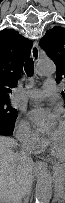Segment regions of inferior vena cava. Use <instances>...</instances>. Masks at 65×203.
<instances>
[{"label": "inferior vena cava", "instance_id": "obj_1", "mask_svg": "<svg viewBox=\"0 0 65 203\" xmlns=\"http://www.w3.org/2000/svg\"><path fill=\"white\" fill-rule=\"evenodd\" d=\"M19 155L24 159L31 160L29 155L24 150H21ZM24 191H25L24 187L20 188V190L18 191V194L14 196L13 203H22L21 199H22V196L24 195Z\"/></svg>", "mask_w": 65, "mask_h": 203}]
</instances>
